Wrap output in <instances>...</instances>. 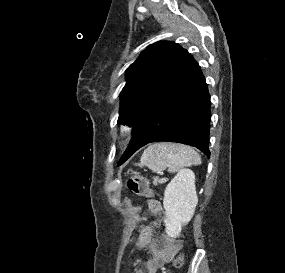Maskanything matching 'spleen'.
Instances as JSON below:
<instances>
[{"label":"spleen","mask_w":285,"mask_h":273,"mask_svg":"<svg viewBox=\"0 0 285 273\" xmlns=\"http://www.w3.org/2000/svg\"><path fill=\"white\" fill-rule=\"evenodd\" d=\"M141 164L152 171L168 168L171 173L184 167L200 165V155L190 146L175 143H156L149 146L141 156Z\"/></svg>","instance_id":"spleen-1"}]
</instances>
